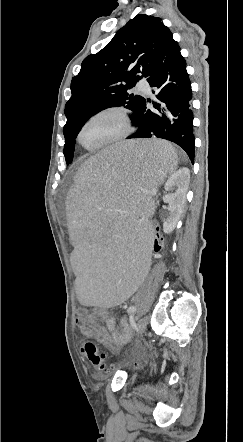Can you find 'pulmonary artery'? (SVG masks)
Masks as SVG:
<instances>
[{"mask_svg": "<svg viewBox=\"0 0 243 442\" xmlns=\"http://www.w3.org/2000/svg\"><path fill=\"white\" fill-rule=\"evenodd\" d=\"M136 90L139 93L150 94V86L146 81H140L137 83Z\"/></svg>", "mask_w": 243, "mask_h": 442, "instance_id": "e3ab8cb5", "label": "pulmonary artery"}]
</instances>
